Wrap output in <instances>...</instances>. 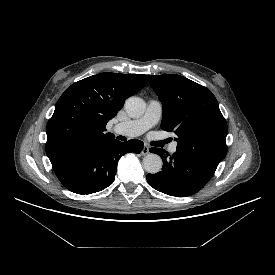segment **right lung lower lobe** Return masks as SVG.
Listing matches in <instances>:
<instances>
[{
  "label": "right lung lower lobe",
  "mask_w": 275,
  "mask_h": 275,
  "mask_svg": "<svg viewBox=\"0 0 275 275\" xmlns=\"http://www.w3.org/2000/svg\"><path fill=\"white\" fill-rule=\"evenodd\" d=\"M143 142L127 143L115 139L51 160L60 182L77 194H91L110 186L120 157L128 152L140 153Z\"/></svg>",
  "instance_id": "1"
}]
</instances>
